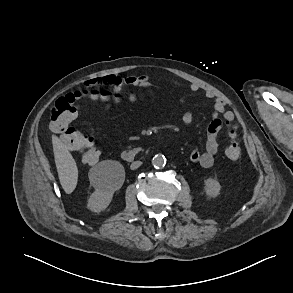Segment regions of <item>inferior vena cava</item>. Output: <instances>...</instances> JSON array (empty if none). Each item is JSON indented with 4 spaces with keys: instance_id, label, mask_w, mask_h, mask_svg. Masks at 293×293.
<instances>
[{
    "instance_id": "obj_1",
    "label": "inferior vena cava",
    "mask_w": 293,
    "mask_h": 293,
    "mask_svg": "<svg viewBox=\"0 0 293 293\" xmlns=\"http://www.w3.org/2000/svg\"><path fill=\"white\" fill-rule=\"evenodd\" d=\"M141 164H142L141 161H135V162H133V163L131 164L130 168H131L132 170H135V169H137L138 167H140Z\"/></svg>"
}]
</instances>
